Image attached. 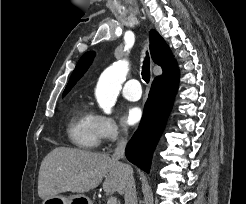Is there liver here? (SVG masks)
Wrapping results in <instances>:
<instances>
[{"label":"liver","mask_w":246,"mask_h":204,"mask_svg":"<svg viewBox=\"0 0 246 204\" xmlns=\"http://www.w3.org/2000/svg\"><path fill=\"white\" fill-rule=\"evenodd\" d=\"M106 193L125 192L127 173L123 163L107 154L57 147L43 159L38 176L41 199L62 192L85 193L100 185Z\"/></svg>","instance_id":"liver-1"}]
</instances>
